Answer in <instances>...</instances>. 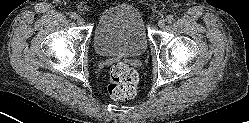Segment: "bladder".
Returning a JSON list of instances; mask_svg holds the SVG:
<instances>
[{"label": "bladder", "mask_w": 249, "mask_h": 123, "mask_svg": "<svg viewBox=\"0 0 249 123\" xmlns=\"http://www.w3.org/2000/svg\"><path fill=\"white\" fill-rule=\"evenodd\" d=\"M149 44L144 16L130 1L110 6L97 20L93 46L100 56H139Z\"/></svg>", "instance_id": "bladder-1"}]
</instances>
